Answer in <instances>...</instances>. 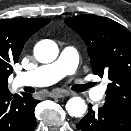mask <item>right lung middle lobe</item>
<instances>
[{"label": "right lung middle lobe", "instance_id": "obj_1", "mask_svg": "<svg viewBox=\"0 0 131 131\" xmlns=\"http://www.w3.org/2000/svg\"><path fill=\"white\" fill-rule=\"evenodd\" d=\"M2 87L6 88L7 87V83H3Z\"/></svg>", "mask_w": 131, "mask_h": 131}]
</instances>
